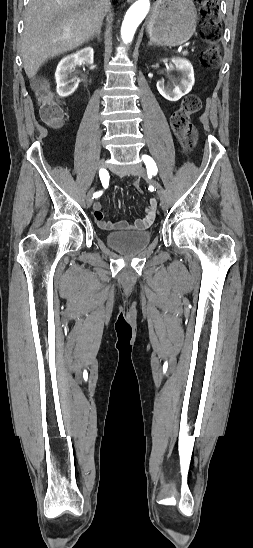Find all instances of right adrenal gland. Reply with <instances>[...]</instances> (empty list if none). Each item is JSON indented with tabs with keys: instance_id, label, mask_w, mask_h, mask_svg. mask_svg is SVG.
<instances>
[{
	"instance_id": "2a0ac1e0",
	"label": "right adrenal gland",
	"mask_w": 253,
	"mask_h": 548,
	"mask_svg": "<svg viewBox=\"0 0 253 548\" xmlns=\"http://www.w3.org/2000/svg\"><path fill=\"white\" fill-rule=\"evenodd\" d=\"M100 33L101 30H99L95 36L91 37L90 40H93L96 37L99 41H101Z\"/></svg>"
}]
</instances>
